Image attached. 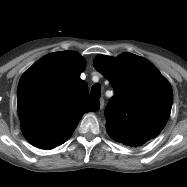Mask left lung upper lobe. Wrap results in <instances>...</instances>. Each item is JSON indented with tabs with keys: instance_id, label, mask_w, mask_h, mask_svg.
<instances>
[{
	"instance_id": "left-lung-upper-lobe-1",
	"label": "left lung upper lobe",
	"mask_w": 187,
	"mask_h": 187,
	"mask_svg": "<svg viewBox=\"0 0 187 187\" xmlns=\"http://www.w3.org/2000/svg\"><path fill=\"white\" fill-rule=\"evenodd\" d=\"M93 66L114 88L105 109L109 136L131 147L156 137L168 121L173 102L167 79L147 59L132 53L116 58L97 55Z\"/></svg>"
}]
</instances>
